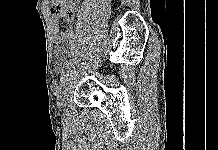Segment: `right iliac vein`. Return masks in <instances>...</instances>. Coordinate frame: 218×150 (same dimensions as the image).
<instances>
[{
    "instance_id": "1",
    "label": "right iliac vein",
    "mask_w": 218,
    "mask_h": 150,
    "mask_svg": "<svg viewBox=\"0 0 218 150\" xmlns=\"http://www.w3.org/2000/svg\"><path fill=\"white\" fill-rule=\"evenodd\" d=\"M72 73L67 75L58 88V107L62 108L71 90Z\"/></svg>"
}]
</instances>
